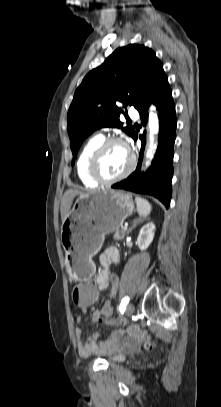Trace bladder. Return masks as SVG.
Listing matches in <instances>:
<instances>
[{"mask_svg": "<svg viewBox=\"0 0 221 407\" xmlns=\"http://www.w3.org/2000/svg\"><path fill=\"white\" fill-rule=\"evenodd\" d=\"M125 358L124 354L120 353L117 349L110 351L109 361L118 363L123 361Z\"/></svg>", "mask_w": 221, "mask_h": 407, "instance_id": "obj_1", "label": "bladder"}]
</instances>
